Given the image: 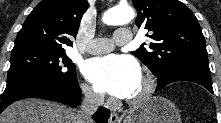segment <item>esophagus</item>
<instances>
[{
    "instance_id": "1",
    "label": "esophagus",
    "mask_w": 221,
    "mask_h": 123,
    "mask_svg": "<svg viewBox=\"0 0 221 123\" xmlns=\"http://www.w3.org/2000/svg\"><path fill=\"white\" fill-rule=\"evenodd\" d=\"M119 121H120V119H119L118 114L116 112H111L110 118H109V123H117Z\"/></svg>"
}]
</instances>
